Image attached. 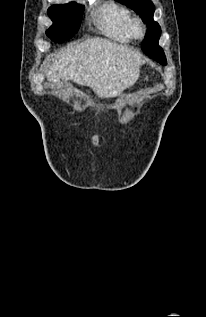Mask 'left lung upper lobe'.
I'll return each instance as SVG.
<instances>
[{
	"label": "left lung upper lobe",
	"instance_id": "obj_1",
	"mask_svg": "<svg viewBox=\"0 0 206 317\" xmlns=\"http://www.w3.org/2000/svg\"><path fill=\"white\" fill-rule=\"evenodd\" d=\"M127 7L133 9L140 15L143 22L146 23L148 30L145 40L142 43V50L146 55H149L147 50L152 49L155 54L157 62L166 65V58L162 48L158 45V40L161 34V28L157 22L153 20L155 7L151 0H115ZM147 49V50H146Z\"/></svg>",
	"mask_w": 206,
	"mask_h": 317
}]
</instances>
